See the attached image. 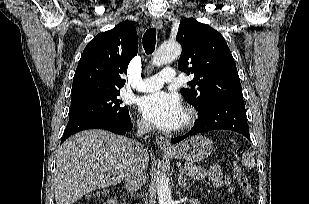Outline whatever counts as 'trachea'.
<instances>
[{
	"label": "trachea",
	"instance_id": "3493384b",
	"mask_svg": "<svg viewBox=\"0 0 309 204\" xmlns=\"http://www.w3.org/2000/svg\"><path fill=\"white\" fill-rule=\"evenodd\" d=\"M142 42L145 52L151 54L154 51L156 44L155 28H150L145 32Z\"/></svg>",
	"mask_w": 309,
	"mask_h": 204
}]
</instances>
